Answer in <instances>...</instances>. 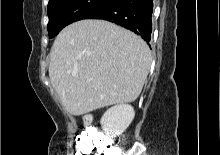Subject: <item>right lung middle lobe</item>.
Segmentation results:
<instances>
[{"label":"right lung middle lobe","instance_id":"1","mask_svg":"<svg viewBox=\"0 0 220 155\" xmlns=\"http://www.w3.org/2000/svg\"><path fill=\"white\" fill-rule=\"evenodd\" d=\"M115 0H52L48 3V33L56 36L65 26L85 19Z\"/></svg>","mask_w":220,"mask_h":155}]
</instances>
